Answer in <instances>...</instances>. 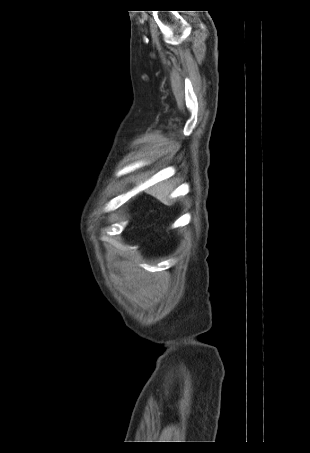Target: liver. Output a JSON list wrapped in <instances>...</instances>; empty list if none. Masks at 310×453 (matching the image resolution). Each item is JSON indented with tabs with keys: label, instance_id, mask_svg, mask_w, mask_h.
I'll use <instances>...</instances> for the list:
<instances>
[{
	"label": "liver",
	"instance_id": "1",
	"mask_svg": "<svg viewBox=\"0 0 310 453\" xmlns=\"http://www.w3.org/2000/svg\"><path fill=\"white\" fill-rule=\"evenodd\" d=\"M171 191H172V186L170 184L161 183V184L155 185L152 188L148 189L147 193L156 197L157 199L164 202L165 204L170 205L172 203V201L168 200V196Z\"/></svg>",
	"mask_w": 310,
	"mask_h": 453
}]
</instances>
